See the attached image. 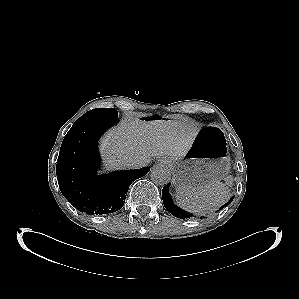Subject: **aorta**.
<instances>
[{"instance_id": "obj_1", "label": "aorta", "mask_w": 299, "mask_h": 299, "mask_svg": "<svg viewBox=\"0 0 299 299\" xmlns=\"http://www.w3.org/2000/svg\"><path fill=\"white\" fill-rule=\"evenodd\" d=\"M151 179L159 184H167L171 179L169 169L164 166H156L151 170Z\"/></svg>"}]
</instances>
